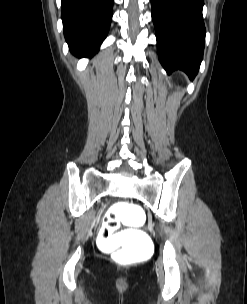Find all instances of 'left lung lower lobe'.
Here are the masks:
<instances>
[{"mask_svg":"<svg viewBox=\"0 0 247 304\" xmlns=\"http://www.w3.org/2000/svg\"><path fill=\"white\" fill-rule=\"evenodd\" d=\"M203 5L204 0H151L159 61L167 73L197 75L206 33Z\"/></svg>","mask_w":247,"mask_h":304,"instance_id":"1","label":"left lung lower lobe"}]
</instances>
